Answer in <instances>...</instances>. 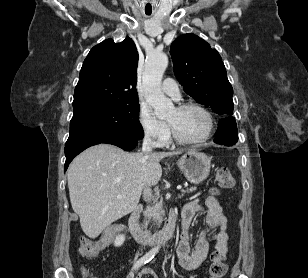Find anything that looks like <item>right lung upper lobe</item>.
Here are the masks:
<instances>
[{"mask_svg": "<svg viewBox=\"0 0 308 278\" xmlns=\"http://www.w3.org/2000/svg\"><path fill=\"white\" fill-rule=\"evenodd\" d=\"M138 52L133 40L106 39L86 57L74 92L73 115L120 104L138 103Z\"/></svg>", "mask_w": 308, "mask_h": 278, "instance_id": "cb5924a9", "label": "right lung upper lobe"}]
</instances>
